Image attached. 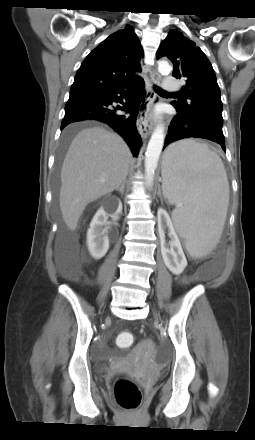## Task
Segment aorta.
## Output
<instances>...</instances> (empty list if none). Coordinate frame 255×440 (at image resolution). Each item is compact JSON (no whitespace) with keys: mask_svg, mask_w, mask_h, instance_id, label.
I'll return each mask as SVG.
<instances>
[{"mask_svg":"<svg viewBox=\"0 0 255 440\" xmlns=\"http://www.w3.org/2000/svg\"><path fill=\"white\" fill-rule=\"evenodd\" d=\"M158 71L162 74H169L171 67L166 61H160L158 64ZM164 139V127L158 125L152 133L146 150L145 179L146 185L150 189L153 187L154 174L164 145Z\"/></svg>","mask_w":255,"mask_h":440,"instance_id":"1","label":"aorta"}]
</instances>
